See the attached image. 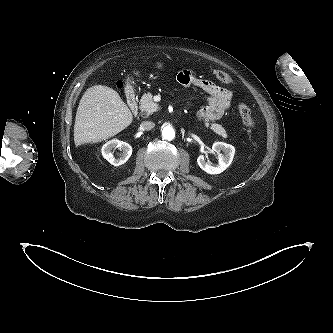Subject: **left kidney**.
<instances>
[{
  "mask_svg": "<svg viewBox=\"0 0 333 333\" xmlns=\"http://www.w3.org/2000/svg\"><path fill=\"white\" fill-rule=\"evenodd\" d=\"M212 150L218 155L219 166L214 167L207 163L204 155H199L197 158V163L199 167L208 174H220L231 164L235 154V148L232 145L224 142H215L212 145ZM221 151L224 154H221Z\"/></svg>",
  "mask_w": 333,
  "mask_h": 333,
  "instance_id": "5707ae66",
  "label": "left kidney"
}]
</instances>
